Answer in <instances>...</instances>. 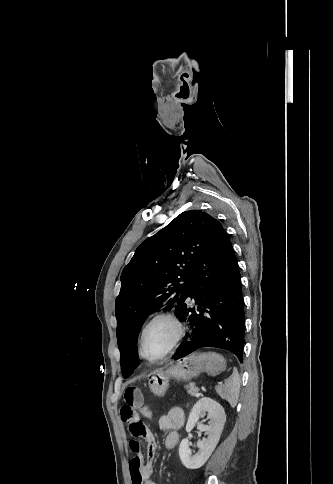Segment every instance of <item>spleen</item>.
<instances>
[{
	"instance_id": "obj_1",
	"label": "spleen",
	"mask_w": 333,
	"mask_h": 484,
	"mask_svg": "<svg viewBox=\"0 0 333 484\" xmlns=\"http://www.w3.org/2000/svg\"><path fill=\"white\" fill-rule=\"evenodd\" d=\"M240 390V378L236 369L232 375L224 382L216 387L217 394L226 400L232 408L237 405Z\"/></svg>"
}]
</instances>
